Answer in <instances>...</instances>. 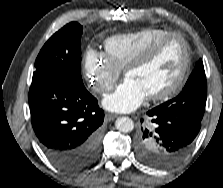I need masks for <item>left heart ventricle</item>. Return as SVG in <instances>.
<instances>
[{
	"label": "left heart ventricle",
	"instance_id": "obj_1",
	"mask_svg": "<svg viewBox=\"0 0 223 188\" xmlns=\"http://www.w3.org/2000/svg\"><path fill=\"white\" fill-rule=\"evenodd\" d=\"M184 60V47L180 39L170 38L152 58L131 70L127 77L136 81L147 96L168 88L177 78Z\"/></svg>",
	"mask_w": 223,
	"mask_h": 188
}]
</instances>
